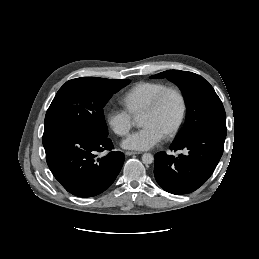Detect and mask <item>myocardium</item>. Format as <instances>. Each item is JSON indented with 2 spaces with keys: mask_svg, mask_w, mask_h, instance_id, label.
<instances>
[{
  "mask_svg": "<svg viewBox=\"0 0 259 259\" xmlns=\"http://www.w3.org/2000/svg\"><path fill=\"white\" fill-rule=\"evenodd\" d=\"M169 94H174L177 96L180 102V115L176 125L164 135L166 138H171L177 135L185 123L186 114H187V104L182 92L176 87L165 88L157 95V97L150 104V106L143 112V114L156 113L161 108L164 100Z\"/></svg>",
  "mask_w": 259,
  "mask_h": 259,
  "instance_id": "f54148a6",
  "label": "myocardium"
}]
</instances>
